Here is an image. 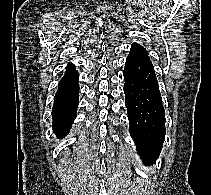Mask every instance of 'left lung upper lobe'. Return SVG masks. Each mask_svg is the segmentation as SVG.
<instances>
[{
    "label": "left lung upper lobe",
    "instance_id": "5c2ea615",
    "mask_svg": "<svg viewBox=\"0 0 211 195\" xmlns=\"http://www.w3.org/2000/svg\"><path fill=\"white\" fill-rule=\"evenodd\" d=\"M128 57L131 59H141L151 62L146 49L143 46L139 45L138 43L132 44L130 49V54Z\"/></svg>",
    "mask_w": 211,
    "mask_h": 195
}]
</instances>
